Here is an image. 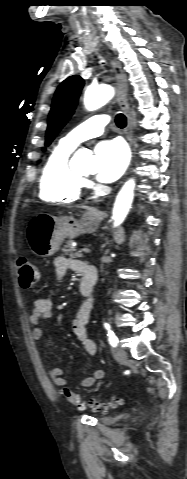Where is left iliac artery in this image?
<instances>
[{
    "label": "left iliac artery",
    "instance_id": "left-iliac-artery-1",
    "mask_svg": "<svg viewBox=\"0 0 187 479\" xmlns=\"http://www.w3.org/2000/svg\"><path fill=\"white\" fill-rule=\"evenodd\" d=\"M104 327L107 330L108 341L111 346L116 347L118 343V339L114 332L111 330L110 325L108 323H104Z\"/></svg>",
    "mask_w": 187,
    "mask_h": 479
}]
</instances>
